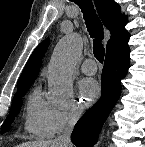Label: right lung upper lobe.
<instances>
[{
  "label": "right lung upper lobe",
  "instance_id": "1",
  "mask_svg": "<svg viewBox=\"0 0 145 147\" xmlns=\"http://www.w3.org/2000/svg\"><path fill=\"white\" fill-rule=\"evenodd\" d=\"M94 2L103 24L111 32L110 40L107 43L108 49L114 42L128 33L125 30L127 18L121 15V8L114 0H94ZM48 45L49 39H46L33 51L18 80L17 89L32 85L39 73L42 57Z\"/></svg>",
  "mask_w": 145,
  "mask_h": 147
}]
</instances>
